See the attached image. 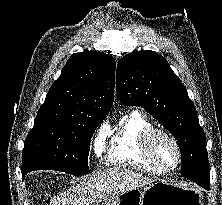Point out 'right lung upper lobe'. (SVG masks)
<instances>
[{
    "label": "right lung upper lobe",
    "mask_w": 222,
    "mask_h": 205,
    "mask_svg": "<svg viewBox=\"0 0 222 205\" xmlns=\"http://www.w3.org/2000/svg\"><path fill=\"white\" fill-rule=\"evenodd\" d=\"M115 61L103 52L73 54L36 118H104L114 99Z\"/></svg>",
    "instance_id": "obj_1"
}]
</instances>
